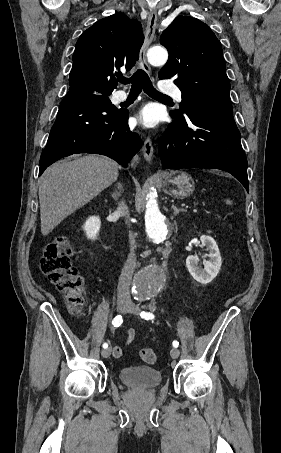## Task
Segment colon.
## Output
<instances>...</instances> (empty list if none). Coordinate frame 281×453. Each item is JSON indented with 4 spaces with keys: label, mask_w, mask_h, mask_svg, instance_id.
Here are the masks:
<instances>
[{
    "label": "colon",
    "mask_w": 281,
    "mask_h": 453,
    "mask_svg": "<svg viewBox=\"0 0 281 453\" xmlns=\"http://www.w3.org/2000/svg\"><path fill=\"white\" fill-rule=\"evenodd\" d=\"M41 269L50 275L61 292L66 296L71 309L77 313L87 310L85 288L78 270L71 266V258L77 255L65 238L46 242L42 246ZM140 359L144 363H157L158 354L150 349L140 350Z\"/></svg>",
    "instance_id": "1"
}]
</instances>
